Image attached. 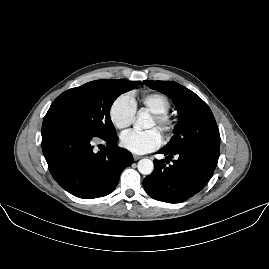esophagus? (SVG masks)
Listing matches in <instances>:
<instances>
[{
    "mask_svg": "<svg viewBox=\"0 0 269 269\" xmlns=\"http://www.w3.org/2000/svg\"><path fill=\"white\" fill-rule=\"evenodd\" d=\"M134 161H137L142 158V156L139 155H133Z\"/></svg>",
    "mask_w": 269,
    "mask_h": 269,
    "instance_id": "esophagus-1",
    "label": "esophagus"
}]
</instances>
